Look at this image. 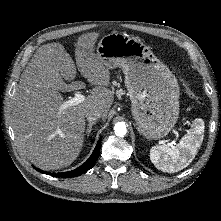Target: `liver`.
Here are the masks:
<instances>
[{"instance_id": "6515ba94", "label": "liver", "mask_w": 221, "mask_h": 221, "mask_svg": "<svg viewBox=\"0 0 221 221\" xmlns=\"http://www.w3.org/2000/svg\"><path fill=\"white\" fill-rule=\"evenodd\" d=\"M98 37V33H87L77 40V69L95 85L80 104L62 109L64 101L56 85L73 80L77 71L59 42L39 47L20 77L13 96L12 128L20 152L39 168L60 169L76 160L84 142L88 111L98 110L103 120L107 118L114 94L107 88L109 69L94 52Z\"/></svg>"}]
</instances>
